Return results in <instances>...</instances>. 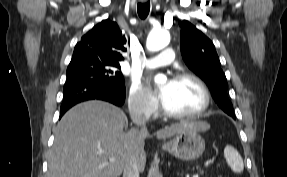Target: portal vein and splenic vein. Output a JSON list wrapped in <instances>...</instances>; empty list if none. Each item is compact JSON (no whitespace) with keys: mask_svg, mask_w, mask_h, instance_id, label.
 Listing matches in <instances>:
<instances>
[{"mask_svg":"<svg viewBox=\"0 0 287 177\" xmlns=\"http://www.w3.org/2000/svg\"><path fill=\"white\" fill-rule=\"evenodd\" d=\"M98 153L103 154V153H106V152H105L104 150H102V149H98ZM109 161H110V162H114L115 159H114L113 157H111V158L109 159ZM193 177H199V176L196 174V175H193Z\"/></svg>","mask_w":287,"mask_h":177,"instance_id":"18ae733b","label":"portal vein and splenic vein"}]
</instances>
